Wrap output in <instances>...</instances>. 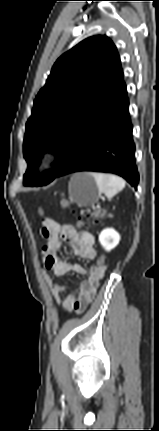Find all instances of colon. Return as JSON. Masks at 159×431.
<instances>
[{
    "instance_id": "obj_1",
    "label": "colon",
    "mask_w": 159,
    "mask_h": 431,
    "mask_svg": "<svg viewBox=\"0 0 159 431\" xmlns=\"http://www.w3.org/2000/svg\"><path fill=\"white\" fill-rule=\"evenodd\" d=\"M61 206L62 207L68 206V202L67 201H62L61 202ZM39 213H40L41 216L43 215V210L41 208L39 209ZM90 216L96 220V219L99 218L100 213H93V214H90ZM77 223H78L79 227H83V226L86 225V215L83 212H78ZM107 260H108V255L105 254V253H102L100 255V259L96 260L95 263L97 265V263H104Z\"/></svg>"
}]
</instances>
